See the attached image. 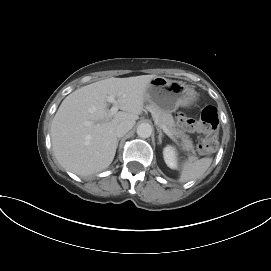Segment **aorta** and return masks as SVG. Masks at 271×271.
I'll return each instance as SVG.
<instances>
[{"instance_id":"aorta-1","label":"aorta","mask_w":271,"mask_h":271,"mask_svg":"<svg viewBox=\"0 0 271 271\" xmlns=\"http://www.w3.org/2000/svg\"><path fill=\"white\" fill-rule=\"evenodd\" d=\"M137 135L140 138H148L151 136L152 134V126L148 123H141L138 127H137Z\"/></svg>"}]
</instances>
